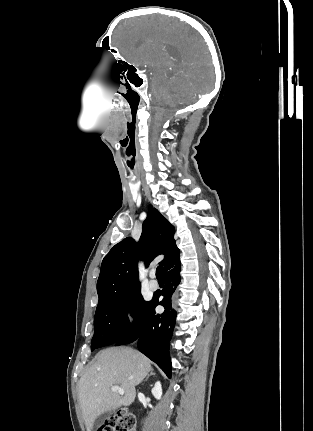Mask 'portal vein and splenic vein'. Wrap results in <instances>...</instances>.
I'll return each mask as SVG.
<instances>
[{
	"mask_svg": "<svg viewBox=\"0 0 313 431\" xmlns=\"http://www.w3.org/2000/svg\"><path fill=\"white\" fill-rule=\"evenodd\" d=\"M111 391H112V392H117V393H119L120 395H123V394H124V390H123L120 386H112V387H111Z\"/></svg>",
	"mask_w": 313,
	"mask_h": 431,
	"instance_id": "portal-vein-and-splenic-vein-1",
	"label": "portal vein and splenic vein"
}]
</instances>
